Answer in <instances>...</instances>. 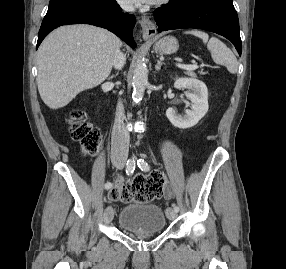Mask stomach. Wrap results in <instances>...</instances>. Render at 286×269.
Masks as SVG:
<instances>
[{
	"label": "stomach",
	"mask_w": 286,
	"mask_h": 269,
	"mask_svg": "<svg viewBox=\"0 0 286 269\" xmlns=\"http://www.w3.org/2000/svg\"><path fill=\"white\" fill-rule=\"evenodd\" d=\"M179 48V43L176 38L172 36H166L154 44V50L160 54L171 55L175 53Z\"/></svg>",
	"instance_id": "stomach-1"
}]
</instances>
